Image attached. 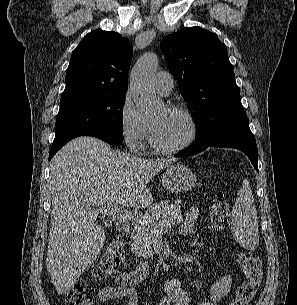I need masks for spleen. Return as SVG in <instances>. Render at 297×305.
<instances>
[{
    "instance_id": "3e777b00",
    "label": "spleen",
    "mask_w": 297,
    "mask_h": 305,
    "mask_svg": "<svg viewBox=\"0 0 297 305\" xmlns=\"http://www.w3.org/2000/svg\"><path fill=\"white\" fill-rule=\"evenodd\" d=\"M231 230L234 237L249 249L258 245V221L252 190L247 179L237 193L232 210Z\"/></svg>"
}]
</instances>
